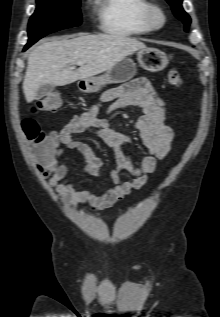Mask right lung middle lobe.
<instances>
[{"label":"right lung middle lobe","instance_id":"right-lung-middle-lobe-1","mask_svg":"<svg viewBox=\"0 0 220 317\" xmlns=\"http://www.w3.org/2000/svg\"><path fill=\"white\" fill-rule=\"evenodd\" d=\"M37 8L28 24V42L81 24L80 0H36Z\"/></svg>","mask_w":220,"mask_h":317}]
</instances>
